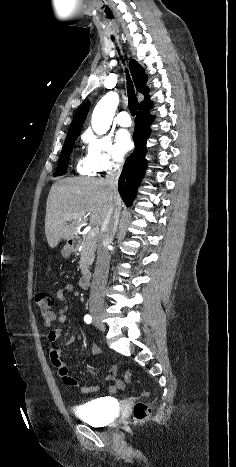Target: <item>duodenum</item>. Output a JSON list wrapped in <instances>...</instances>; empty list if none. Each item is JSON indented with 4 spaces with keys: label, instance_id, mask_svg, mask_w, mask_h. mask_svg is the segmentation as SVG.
<instances>
[{
    "label": "duodenum",
    "instance_id": "1",
    "mask_svg": "<svg viewBox=\"0 0 236 467\" xmlns=\"http://www.w3.org/2000/svg\"><path fill=\"white\" fill-rule=\"evenodd\" d=\"M69 246L73 250L77 248V241L75 239H72L69 241ZM80 287L83 290H87L90 287L91 284V274L89 272H84L81 277H80Z\"/></svg>",
    "mask_w": 236,
    "mask_h": 467
}]
</instances>
